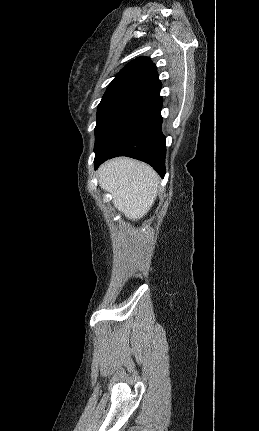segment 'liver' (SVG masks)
<instances>
[{
  "label": "liver",
  "instance_id": "liver-1",
  "mask_svg": "<svg viewBox=\"0 0 259 431\" xmlns=\"http://www.w3.org/2000/svg\"><path fill=\"white\" fill-rule=\"evenodd\" d=\"M99 185L113 196L114 206L132 220L142 218L154 203L159 176L147 164L125 157L105 162Z\"/></svg>",
  "mask_w": 259,
  "mask_h": 431
}]
</instances>
